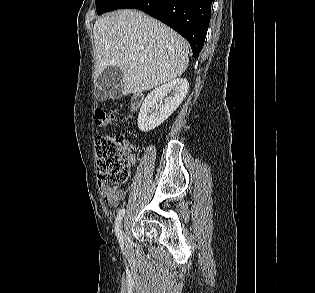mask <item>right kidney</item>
Here are the masks:
<instances>
[{"instance_id":"right-kidney-1","label":"right kidney","mask_w":315,"mask_h":293,"mask_svg":"<svg viewBox=\"0 0 315 293\" xmlns=\"http://www.w3.org/2000/svg\"><path fill=\"white\" fill-rule=\"evenodd\" d=\"M188 90L189 83L183 78L174 79L153 90L140 108L138 128L148 132L161 125L180 106ZM168 94L171 96L168 97Z\"/></svg>"}]
</instances>
